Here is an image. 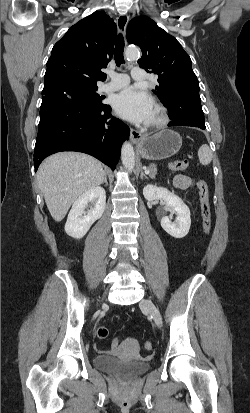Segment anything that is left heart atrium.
I'll list each match as a JSON object with an SVG mask.
<instances>
[{
	"mask_svg": "<svg viewBox=\"0 0 250 413\" xmlns=\"http://www.w3.org/2000/svg\"><path fill=\"white\" fill-rule=\"evenodd\" d=\"M113 107L117 114L134 123H149L153 111L151 97L135 87H127L115 95Z\"/></svg>",
	"mask_w": 250,
	"mask_h": 413,
	"instance_id": "obj_1",
	"label": "left heart atrium"
}]
</instances>
